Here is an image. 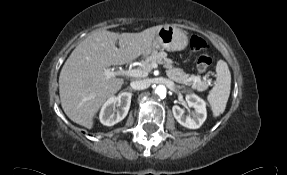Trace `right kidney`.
I'll use <instances>...</instances> for the list:
<instances>
[{
  "instance_id": "right-kidney-1",
  "label": "right kidney",
  "mask_w": 287,
  "mask_h": 175,
  "mask_svg": "<svg viewBox=\"0 0 287 175\" xmlns=\"http://www.w3.org/2000/svg\"><path fill=\"white\" fill-rule=\"evenodd\" d=\"M131 97L132 94L128 92H123L117 97H110L101 108L99 115L100 122L106 126H113L122 121L128 114Z\"/></svg>"
}]
</instances>
